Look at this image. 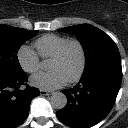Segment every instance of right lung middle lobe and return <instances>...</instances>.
I'll list each match as a JSON object with an SVG mask.
<instances>
[{"mask_svg":"<svg viewBox=\"0 0 128 128\" xmlns=\"http://www.w3.org/2000/svg\"><path fill=\"white\" fill-rule=\"evenodd\" d=\"M38 31H29L8 25H0V73L15 75L23 72L17 52L21 45Z\"/></svg>","mask_w":128,"mask_h":128,"instance_id":"right-lung-middle-lobe-1","label":"right lung middle lobe"}]
</instances>
